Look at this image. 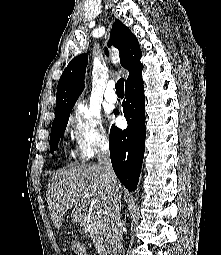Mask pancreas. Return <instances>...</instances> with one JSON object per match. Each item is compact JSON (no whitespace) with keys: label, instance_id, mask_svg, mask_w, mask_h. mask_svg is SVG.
I'll return each instance as SVG.
<instances>
[{"label":"pancreas","instance_id":"obj_1","mask_svg":"<svg viewBox=\"0 0 221 255\" xmlns=\"http://www.w3.org/2000/svg\"><path fill=\"white\" fill-rule=\"evenodd\" d=\"M83 231L93 239L96 248H102V229L103 219L99 213L92 212L90 216H86L82 221Z\"/></svg>","mask_w":221,"mask_h":255}]
</instances>
